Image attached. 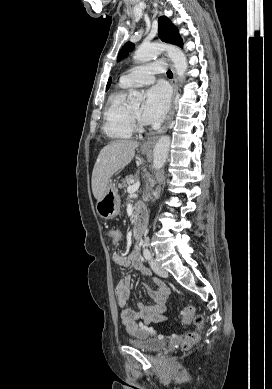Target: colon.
I'll use <instances>...</instances> for the list:
<instances>
[{
	"instance_id": "5ec220e1",
	"label": "colon",
	"mask_w": 272,
	"mask_h": 389,
	"mask_svg": "<svg viewBox=\"0 0 272 389\" xmlns=\"http://www.w3.org/2000/svg\"><path fill=\"white\" fill-rule=\"evenodd\" d=\"M109 237L115 245L119 244L122 240V234L117 229L109 230ZM183 321L185 323L193 321L195 325V329L187 332L182 342V348L188 350L199 342L203 330L204 318L200 314L195 315L194 309L189 306L183 310Z\"/></svg>"
}]
</instances>
